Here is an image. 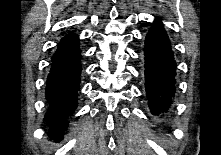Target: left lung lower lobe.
Masks as SVG:
<instances>
[{
    "instance_id": "obj_1",
    "label": "left lung lower lobe",
    "mask_w": 221,
    "mask_h": 155,
    "mask_svg": "<svg viewBox=\"0 0 221 155\" xmlns=\"http://www.w3.org/2000/svg\"><path fill=\"white\" fill-rule=\"evenodd\" d=\"M145 84L153 114L167 111L175 93V60L160 20H155L145 40Z\"/></svg>"
}]
</instances>
